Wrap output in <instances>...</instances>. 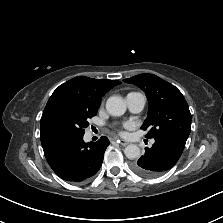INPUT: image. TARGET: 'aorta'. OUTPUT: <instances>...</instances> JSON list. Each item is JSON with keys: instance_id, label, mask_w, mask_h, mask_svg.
<instances>
[{"instance_id": "aorta-1", "label": "aorta", "mask_w": 223, "mask_h": 223, "mask_svg": "<svg viewBox=\"0 0 223 223\" xmlns=\"http://www.w3.org/2000/svg\"><path fill=\"white\" fill-rule=\"evenodd\" d=\"M106 109L113 116H121L126 112V103L121 96H111L107 99ZM124 154L128 159H137L140 156V148L129 144L125 147Z\"/></svg>"}]
</instances>
